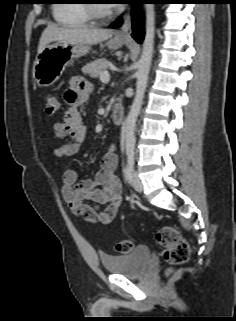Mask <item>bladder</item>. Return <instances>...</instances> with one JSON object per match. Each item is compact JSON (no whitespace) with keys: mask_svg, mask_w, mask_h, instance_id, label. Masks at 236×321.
<instances>
[{"mask_svg":"<svg viewBox=\"0 0 236 321\" xmlns=\"http://www.w3.org/2000/svg\"><path fill=\"white\" fill-rule=\"evenodd\" d=\"M151 258L147 245H138L128 254L102 255L101 262L105 270L113 275L136 277L143 273Z\"/></svg>","mask_w":236,"mask_h":321,"instance_id":"31cf9c89","label":"bladder"}]
</instances>
